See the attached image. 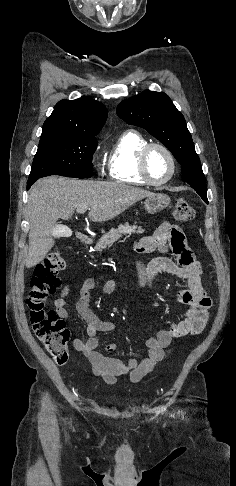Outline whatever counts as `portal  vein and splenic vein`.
<instances>
[{
	"label": "portal vein and splenic vein",
	"mask_w": 236,
	"mask_h": 486,
	"mask_svg": "<svg viewBox=\"0 0 236 486\" xmlns=\"http://www.w3.org/2000/svg\"><path fill=\"white\" fill-rule=\"evenodd\" d=\"M87 209L86 208H81V209H77V212L78 213H84Z\"/></svg>",
	"instance_id": "portal-vein-and-splenic-vein-1"
}]
</instances>
